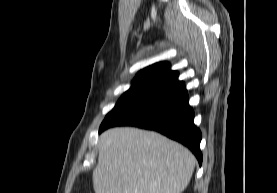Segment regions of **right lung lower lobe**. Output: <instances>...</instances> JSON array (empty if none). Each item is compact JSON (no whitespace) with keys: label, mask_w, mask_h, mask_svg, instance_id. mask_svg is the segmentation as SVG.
I'll return each instance as SVG.
<instances>
[{"label":"right lung lower lobe","mask_w":277,"mask_h":193,"mask_svg":"<svg viewBox=\"0 0 277 193\" xmlns=\"http://www.w3.org/2000/svg\"><path fill=\"white\" fill-rule=\"evenodd\" d=\"M184 82H177L145 95L136 103L101 124L99 133L113 126H136L155 130L187 146L202 164L200 130L188 104Z\"/></svg>","instance_id":"98d812e1"}]
</instances>
